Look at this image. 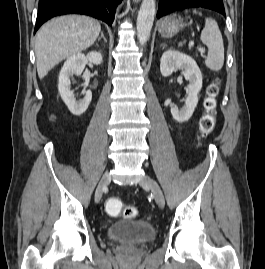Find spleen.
Wrapping results in <instances>:
<instances>
[{"instance_id":"3e777b00","label":"spleen","mask_w":265,"mask_h":269,"mask_svg":"<svg viewBox=\"0 0 265 269\" xmlns=\"http://www.w3.org/2000/svg\"><path fill=\"white\" fill-rule=\"evenodd\" d=\"M193 13L202 15L196 10H193ZM200 39L208 48V54L205 58L206 66L212 71H219L224 64V44L218 24L214 19L205 18V26Z\"/></svg>"}]
</instances>
